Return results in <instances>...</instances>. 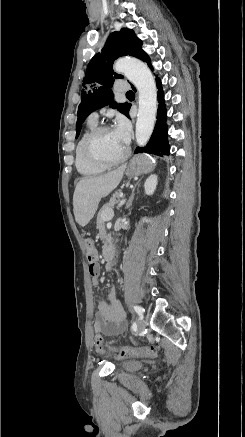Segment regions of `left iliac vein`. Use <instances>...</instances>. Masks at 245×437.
Here are the masks:
<instances>
[{
	"label": "left iliac vein",
	"mask_w": 245,
	"mask_h": 437,
	"mask_svg": "<svg viewBox=\"0 0 245 437\" xmlns=\"http://www.w3.org/2000/svg\"><path fill=\"white\" fill-rule=\"evenodd\" d=\"M146 327V321L144 319H140L138 321V331L142 332Z\"/></svg>",
	"instance_id": "1"
}]
</instances>
